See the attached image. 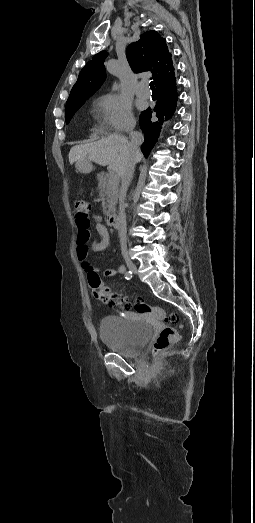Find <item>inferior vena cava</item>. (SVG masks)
Wrapping results in <instances>:
<instances>
[{
	"instance_id": "inferior-vena-cava-1",
	"label": "inferior vena cava",
	"mask_w": 255,
	"mask_h": 523,
	"mask_svg": "<svg viewBox=\"0 0 255 523\" xmlns=\"http://www.w3.org/2000/svg\"><path fill=\"white\" fill-rule=\"evenodd\" d=\"M134 126L128 128L131 136V142L124 152L125 162L122 172H120L121 188H120V206L119 216L117 222V230L120 238L121 252H127V238H126V214H125V198L128 186L133 178L134 168L136 164V158L134 154L138 152L140 144H142L144 138L140 132H133Z\"/></svg>"
}]
</instances>
